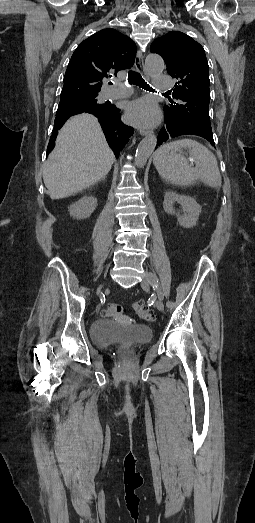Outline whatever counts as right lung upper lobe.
I'll list each match as a JSON object with an SVG mask.
<instances>
[{
    "instance_id": "cb5924a9",
    "label": "right lung upper lobe",
    "mask_w": 255,
    "mask_h": 523,
    "mask_svg": "<svg viewBox=\"0 0 255 523\" xmlns=\"http://www.w3.org/2000/svg\"><path fill=\"white\" fill-rule=\"evenodd\" d=\"M136 51L135 43L128 36L111 28L95 33L77 47L64 76V86L47 154L54 148L58 130L65 121L73 115L86 112L98 118L109 146L115 156H119L133 134V128L121 121L120 110L110 103H98L96 97L90 99L88 109L75 108L73 100L68 96L98 95L106 78L133 65Z\"/></svg>"
}]
</instances>
